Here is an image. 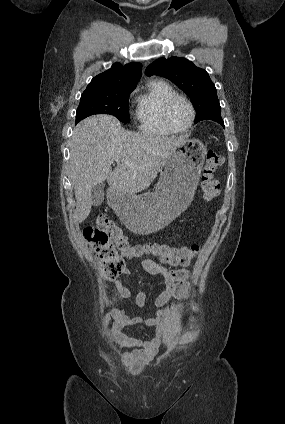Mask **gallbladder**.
I'll return each mask as SVG.
<instances>
[{
	"instance_id": "gallbladder-1",
	"label": "gallbladder",
	"mask_w": 285,
	"mask_h": 424,
	"mask_svg": "<svg viewBox=\"0 0 285 424\" xmlns=\"http://www.w3.org/2000/svg\"><path fill=\"white\" fill-rule=\"evenodd\" d=\"M104 184L99 183L92 187L91 197H92V205L100 206L104 201Z\"/></svg>"
}]
</instances>
